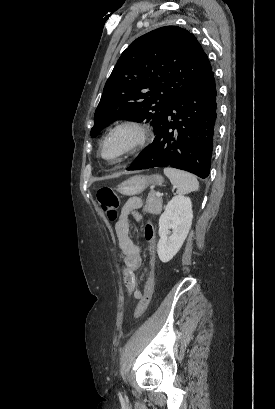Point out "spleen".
<instances>
[{"label": "spleen", "instance_id": "obj_1", "mask_svg": "<svg viewBox=\"0 0 275 409\" xmlns=\"http://www.w3.org/2000/svg\"><path fill=\"white\" fill-rule=\"evenodd\" d=\"M164 174L170 178L172 184H176L178 194H186L192 190H198L199 182L190 172L178 170V168H164Z\"/></svg>", "mask_w": 275, "mask_h": 409}]
</instances>
